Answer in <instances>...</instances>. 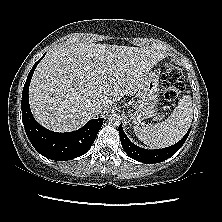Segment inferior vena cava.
Segmentation results:
<instances>
[{
  "instance_id": "inferior-vena-cava-1",
  "label": "inferior vena cava",
  "mask_w": 222,
  "mask_h": 222,
  "mask_svg": "<svg viewBox=\"0 0 222 222\" xmlns=\"http://www.w3.org/2000/svg\"><path fill=\"white\" fill-rule=\"evenodd\" d=\"M89 107H90V109L93 113H99L101 108H102L101 104H97V103L96 104H90Z\"/></svg>"
}]
</instances>
